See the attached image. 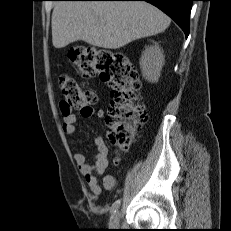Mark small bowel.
<instances>
[{"mask_svg": "<svg viewBox=\"0 0 231 231\" xmlns=\"http://www.w3.org/2000/svg\"><path fill=\"white\" fill-rule=\"evenodd\" d=\"M95 114L98 117H102L104 112L101 109L93 111L92 109H86L81 111L83 117H90ZM76 120L75 114L70 113L68 115L64 114L62 130L67 135H72L76 131ZM96 152L94 154L93 160L88 162L86 156L83 153H76L74 155L75 162L82 173L85 181L87 182L91 192L95 196H99L102 189L111 190L116 185V179L111 175H105L102 179V183L98 182L97 176L103 175L108 166V148L101 136L95 138ZM118 160V159H117Z\"/></svg>", "mask_w": 231, "mask_h": 231, "instance_id": "obj_1", "label": "small bowel"}]
</instances>
